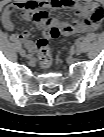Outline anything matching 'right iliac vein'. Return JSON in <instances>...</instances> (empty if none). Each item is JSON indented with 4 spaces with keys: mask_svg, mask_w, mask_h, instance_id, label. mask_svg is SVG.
Segmentation results:
<instances>
[{
    "mask_svg": "<svg viewBox=\"0 0 104 137\" xmlns=\"http://www.w3.org/2000/svg\"><path fill=\"white\" fill-rule=\"evenodd\" d=\"M20 55L22 56V57H27V58H30V54H26V52L24 51V50H20Z\"/></svg>",
    "mask_w": 104,
    "mask_h": 137,
    "instance_id": "right-iliac-vein-1",
    "label": "right iliac vein"
}]
</instances>
